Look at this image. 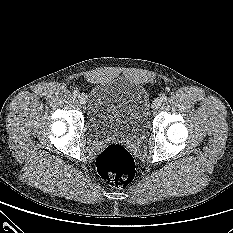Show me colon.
<instances>
[{
  "instance_id": "1",
  "label": "colon",
  "mask_w": 233,
  "mask_h": 233,
  "mask_svg": "<svg viewBox=\"0 0 233 233\" xmlns=\"http://www.w3.org/2000/svg\"><path fill=\"white\" fill-rule=\"evenodd\" d=\"M100 176L116 188L126 186L133 178L135 164L131 154L120 144H110L96 159Z\"/></svg>"
}]
</instances>
